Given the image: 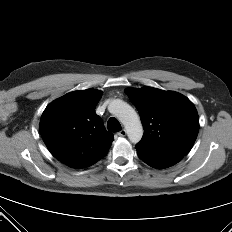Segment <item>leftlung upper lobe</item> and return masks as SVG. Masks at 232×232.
<instances>
[{
    "instance_id": "1",
    "label": "left lung upper lobe",
    "mask_w": 232,
    "mask_h": 232,
    "mask_svg": "<svg viewBox=\"0 0 232 232\" xmlns=\"http://www.w3.org/2000/svg\"><path fill=\"white\" fill-rule=\"evenodd\" d=\"M138 109L144 134L137 153L149 156L187 155L199 131L194 104L182 94L153 87L125 90Z\"/></svg>"
}]
</instances>
